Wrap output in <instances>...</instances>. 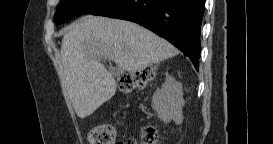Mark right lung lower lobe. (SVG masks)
<instances>
[{
    "instance_id": "right-lung-lower-lobe-1",
    "label": "right lung lower lobe",
    "mask_w": 273,
    "mask_h": 144,
    "mask_svg": "<svg viewBox=\"0 0 273 144\" xmlns=\"http://www.w3.org/2000/svg\"><path fill=\"white\" fill-rule=\"evenodd\" d=\"M205 0H109L92 15L138 23L165 38L199 68Z\"/></svg>"
}]
</instances>
